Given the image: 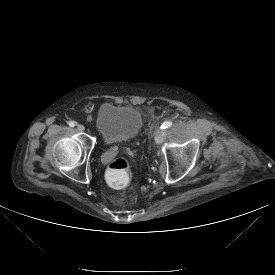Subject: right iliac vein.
<instances>
[{
	"label": "right iliac vein",
	"mask_w": 275,
	"mask_h": 275,
	"mask_svg": "<svg viewBox=\"0 0 275 275\" xmlns=\"http://www.w3.org/2000/svg\"><path fill=\"white\" fill-rule=\"evenodd\" d=\"M77 129H78L79 131H84V130H85V127H84L82 124H78V125H77Z\"/></svg>",
	"instance_id": "right-iliac-vein-1"
}]
</instances>
